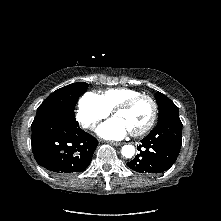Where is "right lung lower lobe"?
<instances>
[{
	"label": "right lung lower lobe",
	"mask_w": 221,
	"mask_h": 221,
	"mask_svg": "<svg viewBox=\"0 0 221 221\" xmlns=\"http://www.w3.org/2000/svg\"><path fill=\"white\" fill-rule=\"evenodd\" d=\"M31 130L37 163L59 175L84 171L98 145L93 136L65 114L48 118Z\"/></svg>",
	"instance_id": "98d812e1"
}]
</instances>
